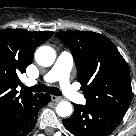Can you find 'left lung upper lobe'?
Instances as JSON below:
<instances>
[{"label":"left lung upper lobe","mask_w":136,"mask_h":136,"mask_svg":"<svg viewBox=\"0 0 136 136\" xmlns=\"http://www.w3.org/2000/svg\"><path fill=\"white\" fill-rule=\"evenodd\" d=\"M56 36L72 51L86 103L125 113L132 96L131 78L115 45L89 31H63Z\"/></svg>","instance_id":"obj_1"}]
</instances>
